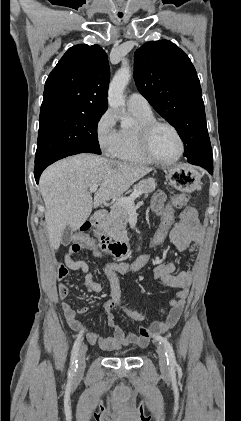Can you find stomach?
Returning a JSON list of instances; mask_svg holds the SVG:
<instances>
[{
    "instance_id": "stomach-1",
    "label": "stomach",
    "mask_w": 241,
    "mask_h": 421,
    "mask_svg": "<svg viewBox=\"0 0 241 421\" xmlns=\"http://www.w3.org/2000/svg\"><path fill=\"white\" fill-rule=\"evenodd\" d=\"M170 183L182 192H192L200 184L201 175L187 164H179L168 170Z\"/></svg>"
}]
</instances>
